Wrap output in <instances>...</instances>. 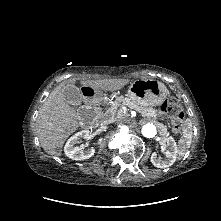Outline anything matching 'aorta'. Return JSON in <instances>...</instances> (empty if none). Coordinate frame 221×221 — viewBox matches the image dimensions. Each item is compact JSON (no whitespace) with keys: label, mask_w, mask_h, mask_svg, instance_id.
Returning <instances> with one entry per match:
<instances>
[{"label":"aorta","mask_w":221,"mask_h":221,"mask_svg":"<svg viewBox=\"0 0 221 221\" xmlns=\"http://www.w3.org/2000/svg\"><path fill=\"white\" fill-rule=\"evenodd\" d=\"M157 133L156 126L152 123L145 124L142 127V134L147 138H153Z\"/></svg>","instance_id":"1"}]
</instances>
